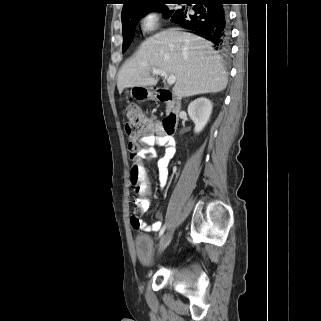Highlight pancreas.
Returning <instances> with one entry per match:
<instances>
[{
    "mask_svg": "<svg viewBox=\"0 0 321 321\" xmlns=\"http://www.w3.org/2000/svg\"><path fill=\"white\" fill-rule=\"evenodd\" d=\"M166 111H167V113H168V112L170 111V108H169V107H167Z\"/></svg>",
    "mask_w": 321,
    "mask_h": 321,
    "instance_id": "obj_1",
    "label": "pancreas"
}]
</instances>
